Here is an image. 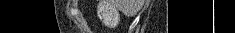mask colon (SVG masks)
<instances>
[{
  "label": "colon",
  "instance_id": "5ec220e1",
  "mask_svg": "<svg viewBox=\"0 0 235 33\" xmlns=\"http://www.w3.org/2000/svg\"><path fill=\"white\" fill-rule=\"evenodd\" d=\"M98 15L100 19L108 26H115L118 22L119 13L108 2L102 1L98 6Z\"/></svg>",
  "mask_w": 235,
  "mask_h": 33
}]
</instances>
